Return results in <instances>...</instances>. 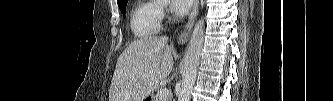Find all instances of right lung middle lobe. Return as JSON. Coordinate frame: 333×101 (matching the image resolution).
I'll use <instances>...</instances> for the list:
<instances>
[{
  "mask_svg": "<svg viewBox=\"0 0 333 101\" xmlns=\"http://www.w3.org/2000/svg\"><path fill=\"white\" fill-rule=\"evenodd\" d=\"M127 1H128V0H126L125 2H123V3H121V4L118 5L119 8H120V10H121V12H122L123 14H125V11H126Z\"/></svg>",
  "mask_w": 333,
  "mask_h": 101,
  "instance_id": "1",
  "label": "right lung middle lobe"
}]
</instances>
